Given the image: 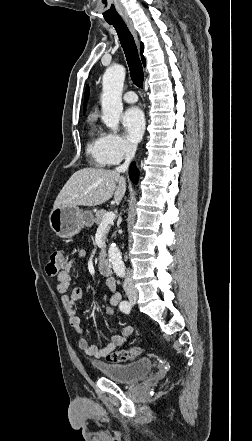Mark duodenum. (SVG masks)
Returning <instances> with one entry per match:
<instances>
[{
    "label": "duodenum",
    "instance_id": "obj_1",
    "mask_svg": "<svg viewBox=\"0 0 252 441\" xmlns=\"http://www.w3.org/2000/svg\"><path fill=\"white\" fill-rule=\"evenodd\" d=\"M98 267L102 274L107 276L112 275L113 269L107 257L101 256L99 258Z\"/></svg>",
    "mask_w": 252,
    "mask_h": 441
}]
</instances>
